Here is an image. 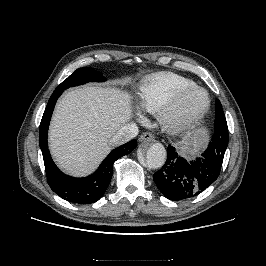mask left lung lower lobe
Returning <instances> with one entry per match:
<instances>
[{
  "label": "left lung lower lobe",
  "instance_id": "1",
  "mask_svg": "<svg viewBox=\"0 0 266 266\" xmlns=\"http://www.w3.org/2000/svg\"><path fill=\"white\" fill-rule=\"evenodd\" d=\"M212 139L201 157L187 161L168 147L164 166L154 173L153 179L161 193L170 200H184L197 196L219 176L228 145L226 134Z\"/></svg>",
  "mask_w": 266,
  "mask_h": 266
}]
</instances>
